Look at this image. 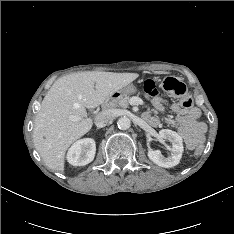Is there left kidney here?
<instances>
[{
	"label": "left kidney",
	"mask_w": 234,
	"mask_h": 234,
	"mask_svg": "<svg viewBox=\"0 0 234 234\" xmlns=\"http://www.w3.org/2000/svg\"><path fill=\"white\" fill-rule=\"evenodd\" d=\"M159 136L171 142V154L164 157L159 150H148V157L158 166L164 168H171L179 164L184 151L182 137L175 131L169 129H162L159 131Z\"/></svg>",
	"instance_id": "obj_1"
}]
</instances>
